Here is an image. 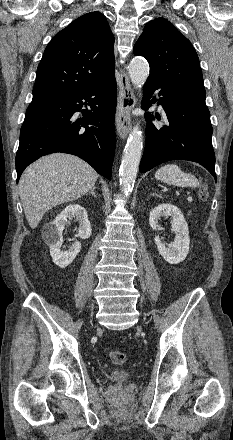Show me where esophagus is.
I'll return each mask as SVG.
<instances>
[{"label": "esophagus", "mask_w": 233, "mask_h": 440, "mask_svg": "<svg viewBox=\"0 0 233 440\" xmlns=\"http://www.w3.org/2000/svg\"><path fill=\"white\" fill-rule=\"evenodd\" d=\"M135 103L136 99L128 74L124 69H121L116 129L118 135L122 139H125L131 130V111L134 108Z\"/></svg>", "instance_id": "34e87169"}]
</instances>
